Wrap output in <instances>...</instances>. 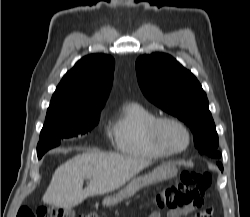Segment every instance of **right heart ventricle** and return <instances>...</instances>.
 <instances>
[{"label": "right heart ventricle", "mask_w": 250, "mask_h": 217, "mask_svg": "<svg viewBox=\"0 0 250 217\" xmlns=\"http://www.w3.org/2000/svg\"><path fill=\"white\" fill-rule=\"evenodd\" d=\"M156 114L138 102L121 106L110 122L109 133L116 151L144 159H161L170 156L151 139L149 127Z\"/></svg>", "instance_id": "1"}]
</instances>
